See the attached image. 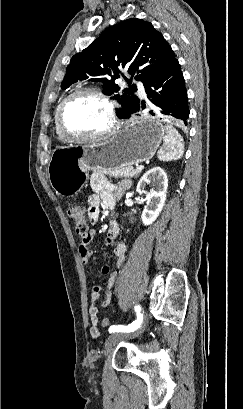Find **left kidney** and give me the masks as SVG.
Segmentation results:
<instances>
[{"label": "left kidney", "instance_id": "5707ae66", "mask_svg": "<svg viewBox=\"0 0 243 409\" xmlns=\"http://www.w3.org/2000/svg\"><path fill=\"white\" fill-rule=\"evenodd\" d=\"M147 185H152L154 189L151 192H146ZM167 188V174L160 167L150 169L139 180L136 191L147 196L146 206L141 216L145 226L152 224L162 211L166 201Z\"/></svg>", "mask_w": 243, "mask_h": 409}]
</instances>
